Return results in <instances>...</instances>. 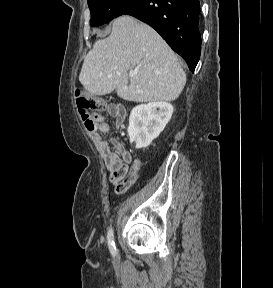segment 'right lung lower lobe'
Returning <instances> with one entry per match:
<instances>
[{"label":"right lung lower lobe","instance_id":"98d812e1","mask_svg":"<svg viewBox=\"0 0 273 288\" xmlns=\"http://www.w3.org/2000/svg\"><path fill=\"white\" fill-rule=\"evenodd\" d=\"M199 0H135L123 13L153 27L184 58L191 71L199 61Z\"/></svg>","mask_w":273,"mask_h":288}]
</instances>
